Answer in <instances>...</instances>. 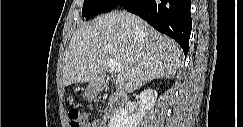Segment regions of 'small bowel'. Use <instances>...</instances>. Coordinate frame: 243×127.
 Wrapping results in <instances>:
<instances>
[{
	"instance_id": "obj_1",
	"label": "small bowel",
	"mask_w": 243,
	"mask_h": 127,
	"mask_svg": "<svg viewBox=\"0 0 243 127\" xmlns=\"http://www.w3.org/2000/svg\"><path fill=\"white\" fill-rule=\"evenodd\" d=\"M90 126H92V127H104L103 123L100 122V121H95V122H93L92 125H90L87 121H84V127H90Z\"/></svg>"
}]
</instances>
